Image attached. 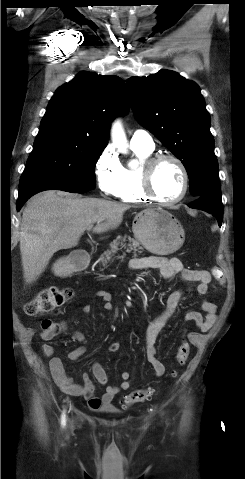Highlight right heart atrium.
<instances>
[{"label": "right heart atrium", "instance_id": "1", "mask_svg": "<svg viewBox=\"0 0 245 479\" xmlns=\"http://www.w3.org/2000/svg\"><path fill=\"white\" fill-rule=\"evenodd\" d=\"M122 165L116 153L107 148L100 155L95 166L99 190L104 196H116L122 177Z\"/></svg>", "mask_w": 245, "mask_h": 479}]
</instances>
